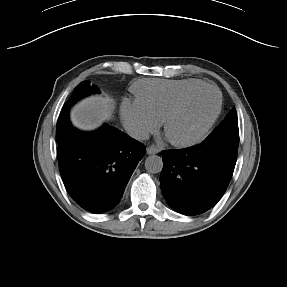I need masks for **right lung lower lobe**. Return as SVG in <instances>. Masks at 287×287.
I'll list each match as a JSON object with an SVG mask.
<instances>
[{
	"instance_id": "right-lung-lower-lobe-1",
	"label": "right lung lower lobe",
	"mask_w": 287,
	"mask_h": 287,
	"mask_svg": "<svg viewBox=\"0 0 287 287\" xmlns=\"http://www.w3.org/2000/svg\"><path fill=\"white\" fill-rule=\"evenodd\" d=\"M145 152L142 143L105 124L91 133L71 127L57 157L73 200L85 210L103 213L117 205Z\"/></svg>"
}]
</instances>
